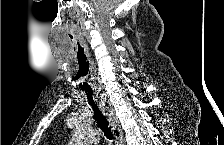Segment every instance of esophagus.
I'll use <instances>...</instances> for the list:
<instances>
[{
	"instance_id": "obj_1",
	"label": "esophagus",
	"mask_w": 224,
	"mask_h": 145,
	"mask_svg": "<svg viewBox=\"0 0 224 145\" xmlns=\"http://www.w3.org/2000/svg\"><path fill=\"white\" fill-rule=\"evenodd\" d=\"M99 107L101 111L107 116L108 121L111 125L112 133L114 136V141L116 145H122L123 143V132L121 129L120 122L115 115L114 110L111 105L104 100L103 95L99 97Z\"/></svg>"
}]
</instances>
